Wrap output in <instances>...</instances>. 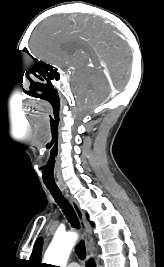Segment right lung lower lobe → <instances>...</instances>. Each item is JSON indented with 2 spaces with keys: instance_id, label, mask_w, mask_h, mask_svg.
I'll return each instance as SVG.
<instances>
[{
  "instance_id": "obj_1",
  "label": "right lung lower lobe",
  "mask_w": 164,
  "mask_h": 267,
  "mask_svg": "<svg viewBox=\"0 0 164 267\" xmlns=\"http://www.w3.org/2000/svg\"><path fill=\"white\" fill-rule=\"evenodd\" d=\"M87 267H95V264L93 261H89L87 264Z\"/></svg>"
}]
</instances>
